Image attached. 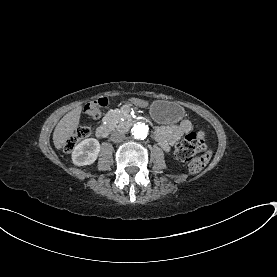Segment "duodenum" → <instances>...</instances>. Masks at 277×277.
Instances as JSON below:
<instances>
[{
	"label": "duodenum",
	"instance_id": "duodenum-1",
	"mask_svg": "<svg viewBox=\"0 0 277 277\" xmlns=\"http://www.w3.org/2000/svg\"><path fill=\"white\" fill-rule=\"evenodd\" d=\"M134 122V119L128 118L125 119L124 121L120 122L118 125V128L120 130H126L128 129ZM110 131V128L108 125L101 124L96 128L95 134L98 138L102 139L105 138Z\"/></svg>",
	"mask_w": 277,
	"mask_h": 277
}]
</instances>
